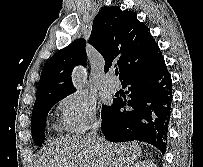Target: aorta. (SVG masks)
I'll list each match as a JSON object with an SVG mask.
<instances>
[{
	"label": "aorta",
	"instance_id": "aorta-1",
	"mask_svg": "<svg viewBox=\"0 0 203 167\" xmlns=\"http://www.w3.org/2000/svg\"><path fill=\"white\" fill-rule=\"evenodd\" d=\"M73 83L75 87L79 90L84 89L85 87V78L81 69H77L73 76Z\"/></svg>",
	"mask_w": 203,
	"mask_h": 167
}]
</instances>
